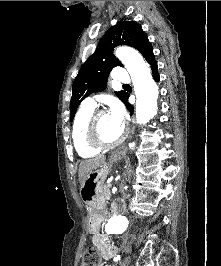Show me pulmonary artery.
Returning <instances> with one entry per match:
<instances>
[{
  "instance_id": "e3ab8cb5",
  "label": "pulmonary artery",
  "mask_w": 221,
  "mask_h": 266,
  "mask_svg": "<svg viewBox=\"0 0 221 266\" xmlns=\"http://www.w3.org/2000/svg\"><path fill=\"white\" fill-rule=\"evenodd\" d=\"M113 77L116 82L120 83H128L130 81L129 75L127 74L125 69L121 66L115 67ZM82 105L89 108H95L96 102L94 97L88 96L83 100Z\"/></svg>"
}]
</instances>
